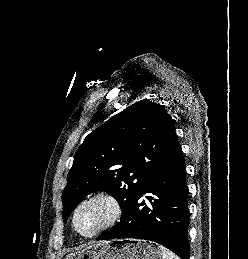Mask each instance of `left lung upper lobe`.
Masks as SVG:
<instances>
[{"label": "left lung upper lobe", "mask_w": 248, "mask_h": 259, "mask_svg": "<svg viewBox=\"0 0 248 259\" xmlns=\"http://www.w3.org/2000/svg\"><path fill=\"white\" fill-rule=\"evenodd\" d=\"M180 147L162 105L140 100L92 131L74 156L62 195L63 221L83 198L105 191L122 215L148 179Z\"/></svg>", "instance_id": "5c2ea615"}]
</instances>
